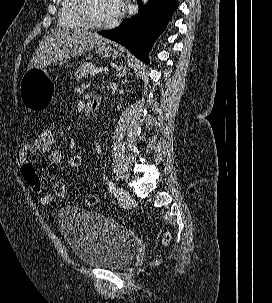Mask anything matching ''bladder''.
<instances>
[{
    "label": "bladder",
    "instance_id": "obj_1",
    "mask_svg": "<svg viewBox=\"0 0 272 303\" xmlns=\"http://www.w3.org/2000/svg\"><path fill=\"white\" fill-rule=\"evenodd\" d=\"M58 227L76 258L84 265L120 269L132 260L136 240L112 218L78 207H65Z\"/></svg>",
    "mask_w": 272,
    "mask_h": 303
}]
</instances>
